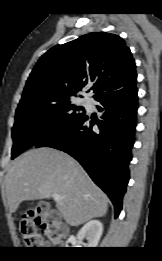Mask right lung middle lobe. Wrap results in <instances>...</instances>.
Segmentation results:
<instances>
[{"label":"right lung middle lobe","instance_id":"1","mask_svg":"<svg viewBox=\"0 0 162 261\" xmlns=\"http://www.w3.org/2000/svg\"><path fill=\"white\" fill-rule=\"evenodd\" d=\"M72 105L70 96H36L21 101L12 128V159L52 133L61 130L85 113Z\"/></svg>","mask_w":162,"mask_h":261}]
</instances>
